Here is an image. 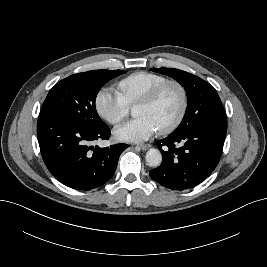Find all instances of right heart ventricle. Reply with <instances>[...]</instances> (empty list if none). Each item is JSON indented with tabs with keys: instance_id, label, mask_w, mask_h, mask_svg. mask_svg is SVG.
Wrapping results in <instances>:
<instances>
[{
	"instance_id": "obj_1",
	"label": "right heart ventricle",
	"mask_w": 267,
	"mask_h": 267,
	"mask_svg": "<svg viewBox=\"0 0 267 267\" xmlns=\"http://www.w3.org/2000/svg\"><path fill=\"white\" fill-rule=\"evenodd\" d=\"M167 78L161 74L138 71L134 72L117 83L118 93L130 105L137 104L150 90Z\"/></svg>"
}]
</instances>
